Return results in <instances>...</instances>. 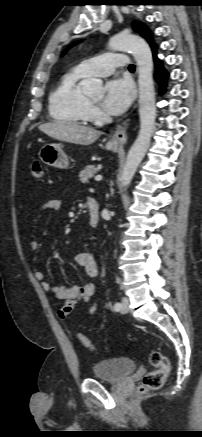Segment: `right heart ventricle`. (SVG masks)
Wrapping results in <instances>:
<instances>
[{
	"label": "right heart ventricle",
	"instance_id": "e07e8e85",
	"mask_svg": "<svg viewBox=\"0 0 202 437\" xmlns=\"http://www.w3.org/2000/svg\"><path fill=\"white\" fill-rule=\"evenodd\" d=\"M78 67L65 73L49 95V114L59 121L86 124L91 118V105L80 90L79 81L85 78Z\"/></svg>",
	"mask_w": 202,
	"mask_h": 437
}]
</instances>
